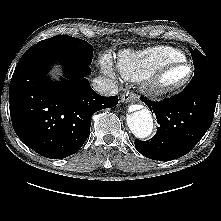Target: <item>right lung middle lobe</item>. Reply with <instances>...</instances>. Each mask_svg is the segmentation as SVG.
<instances>
[{
    "mask_svg": "<svg viewBox=\"0 0 221 221\" xmlns=\"http://www.w3.org/2000/svg\"><path fill=\"white\" fill-rule=\"evenodd\" d=\"M35 46L44 47L78 63L90 65L92 61V45L71 36H54L38 42Z\"/></svg>",
    "mask_w": 221,
    "mask_h": 221,
    "instance_id": "obj_1",
    "label": "right lung middle lobe"
}]
</instances>
